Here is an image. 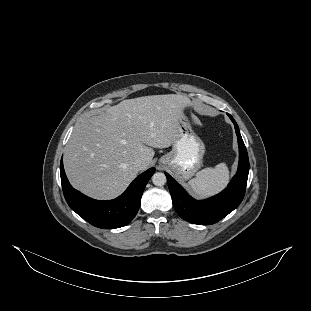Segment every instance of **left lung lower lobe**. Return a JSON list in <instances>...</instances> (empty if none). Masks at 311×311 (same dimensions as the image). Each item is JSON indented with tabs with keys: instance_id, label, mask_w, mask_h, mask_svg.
<instances>
[{
	"instance_id": "left-lung-lower-lobe-1",
	"label": "left lung lower lobe",
	"mask_w": 311,
	"mask_h": 311,
	"mask_svg": "<svg viewBox=\"0 0 311 311\" xmlns=\"http://www.w3.org/2000/svg\"><path fill=\"white\" fill-rule=\"evenodd\" d=\"M227 115L235 126L239 145V165L236 175L225 190L206 200L197 201L189 196L169 174L165 173L173 206L178 215L190 223L214 224L232 212L243 200L248 179L249 159L238 125L231 115Z\"/></svg>"
}]
</instances>
